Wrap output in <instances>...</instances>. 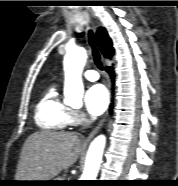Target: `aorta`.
I'll return each instance as SVG.
<instances>
[{"label":"aorta","instance_id":"762f6f07","mask_svg":"<svg viewBox=\"0 0 178 186\" xmlns=\"http://www.w3.org/2000/svg\"><path fill=\"white\" fill-rule=\"evenodd\" d=\"M86 59V51L81 47L68 50L64 57V96L69 104L80 105L82 103L84 86L81 75ZM105 144L104 135H99L92 141L81 180H96Z\"/></svg>","mask_w":178,"mask_h":186}]
</instances>
